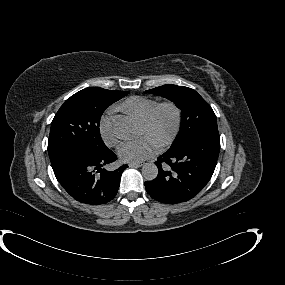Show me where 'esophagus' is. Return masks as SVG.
<instances>
[{
    "mask_svg": "<svg viewBox=\"0 0 285 285\" xmlns=\"http://www.w3.org/2000/svg\"><path fill=\"white\" fill-rule=\"evenodd\" d=\"M130 167H140L142 166V162H131L129 163Z\"/></svg>",
    "mask_w": 285,
    "mask_h": 285,
    "instance_id": "34e87169",
    "label": "esophagus"
}]
</instances>
